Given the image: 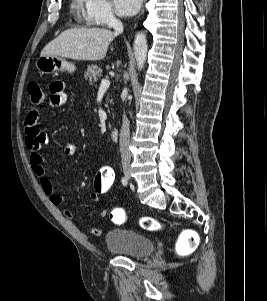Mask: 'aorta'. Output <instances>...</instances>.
Listing matches in <instances>:
<instances>
[{
	"label": "aorta",
	"instance_id": "1",
	"mask_svg": "<svg viewBox=\"0 0 267 301\" xmlns=\"http://www.w3.org/2000/svg\"><path fill=\"white\" fill-rule=\"evenodd\" d=\"M147 39L143 32H138L134 39V55L138 70H142L147 56Z\"/></svg>",
	"mask_w": 267,
	"mask_h": 301
}]
</instances>
